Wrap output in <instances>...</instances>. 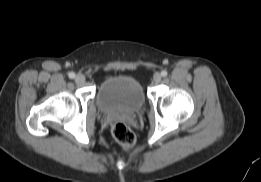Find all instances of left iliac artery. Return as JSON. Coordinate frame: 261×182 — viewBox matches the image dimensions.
Segmentation results:
<instances>
[{"label":"left iliac artery","instance_id":"1","mask_svg":"<svg viewBox=\"0 0 261 182\" xmlns=\"http://www.w3.org/2000/svg\"><path fill=\"white\" fill-rule=\"evenodd\" d=\"M167 71L166 70H163V71H161V75L163 76V77H166L167 76Z\"/></svg>","mask_w":261,"mask_h":182}]
</instances>
